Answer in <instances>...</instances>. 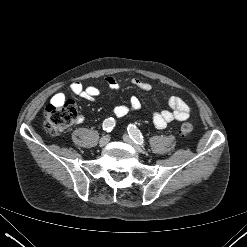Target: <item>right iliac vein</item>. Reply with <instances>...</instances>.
<instances>
[{
    "instance_id": "right-iliac-vein-1",
    "label": "right iliac vein",
    "mask_w": 247,
    "mask_h": 247,
    "mask_svg": "<svg viewBox=\"0 0 247 247\" xmlns=\"http://www.w3.org/2000/svg\"><path fill=\"white\" fill-rule=\"evenodd\" d=\"M109 141H110V136H109V135H105V136H103V137L100 139L99 145H100L101 147H103V146L107 145Z\"/></svg>"
}]
</instances>
